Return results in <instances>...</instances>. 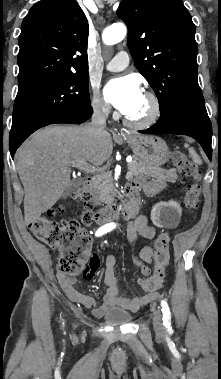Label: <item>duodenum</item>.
<instances>
[{
  "mask_svg": "<svg viewBox=\"0 0 221 379\" xmlns=\"http://www.w3.org/2000/svg\"><path fill=\"white\" fill-rule=\"evenodd\" d=\"M92 179L90 177H85L82 180V188L89 191L91 188ZM126 193L128 200L122 204H110L100 208L95 216L94 220L96 223H107L113 221L120 215L125 218H131L135 216L141 206L140 198L138 195V190L133 184H128L126 187Z\"/></svg>",
  "mask_w": 221,
  "mask_h": 379,
  "instance_id": "410a0bca",
  "label": "duodenum"
}]
</instances>
